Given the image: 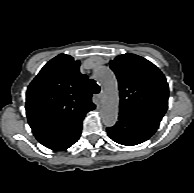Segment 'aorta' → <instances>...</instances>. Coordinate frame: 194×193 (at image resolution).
Returning a JSON list of instances; mask_svg holds the SVG:
<instances>
[{
	"label": "aorta",
	"mask_w": 194,
	"mask_h": 193,
	"mask_svg": "<svg viewBox=\"0 0 194 193\" xmlns=\"http://www.w3.org/2000/svg\"><path fill=\"white\" fill-rule=\"evenodd\" d=\"M94 76L105 91L101 106V118L106 126H113L118 118V84L114 73L107 67L98 66Z\"/></svg>",
	"instance_id": "762f6f07"
}]
</instances>
